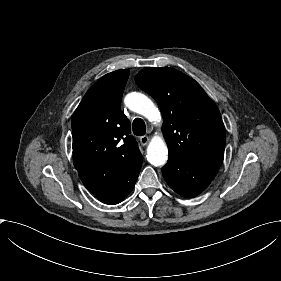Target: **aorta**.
<instances>
[{"instance_id":"obj_1","label":"aorta","mask_w":281,"mask_h":281,"mask_svg":"<svg viewBox=\"0 0 281 281\" xmlns=\"http://www.w3.org/2000/svg\"><path fill=\"white\" fill-rule=\"evenodd\" d=\"M125 105L133 112L141 114L150 121L159 116L155 104L146 95L139 92L129 93L124 99ZM168 159V150L164 139L155 136L147 147V160L153 166H163Z\"/></svg>"}]
</instances>
